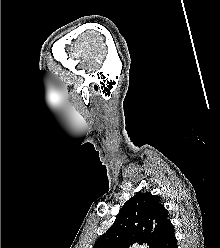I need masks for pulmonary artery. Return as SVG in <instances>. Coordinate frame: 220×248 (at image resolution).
Wrapping results in <instances>:
<instances>
[{
    "label": "pulmonary artery",
    "instance_id": "e3ab8cb5",
    "mask_svg": "<svg viewBox=\"0 0 220 248\" xmlns=\"http://www.w3.org/2000/svg\"><path fill=\"white\" fill-rule=\"evenodd\" d=\"M138 248H145V247L141 246V247H138Z\"/></svg>",
    "mask_w": 220,
    "mask_h": 248
}]
</instances>
